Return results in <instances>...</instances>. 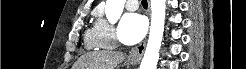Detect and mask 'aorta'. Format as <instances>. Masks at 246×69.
<instances>
[{
  "instance_id": "762f6f07",
  "label": "aorta",
  "mask_w": 246,
  "mask_h": 69,
  "mask_svg": "<svg viewBox=\"0 0 246 69\" xmlns=\"http://www.w3.org/2000/svg\"><path fill=\"white\" fill-rule=\"evenodd\" d=\"M125 0H106L105 14L110 23H116L123 11ZM150 34L140 69H156L164 33L166 0H151Z\"/></svg>"
}]
</instances>
